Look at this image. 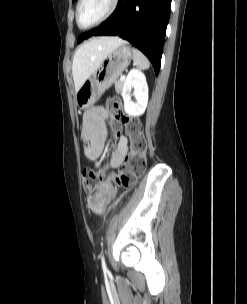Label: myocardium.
<instances>
[{
  "label": "myocardium",
  "instance_id": "obj_1",
  "mask_svg": "<svg viewBox=\"0 0 247 304\" xmlns=\"http://www.w3.org/2000/svg\"><path fill=\"white\" fill-rule=\"evenodd\" d=\"M83 3H84V0H78L77 6H76L75 20H76L77 26L80 29L88 30V29H91V28H94V27L100 25L105 20H107L115 12V10L118 6L119 0H110V5H109L108 9L106 10V12L98 20H96L95 22H93L92 24H90L88 26H81L80 22H79V12H80V8Z\"/></svg>",
  "mask_w": 247,
  "mask_h": 304
}]
</instances>
